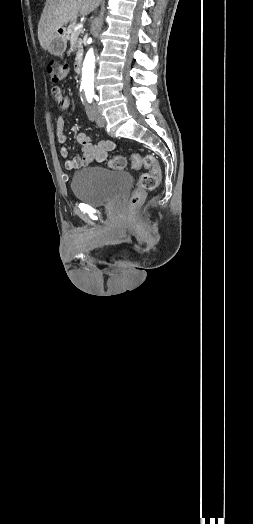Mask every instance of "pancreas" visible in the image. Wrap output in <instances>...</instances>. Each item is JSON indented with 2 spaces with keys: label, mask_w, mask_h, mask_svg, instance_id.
Wrapping results in <instances>:
<instances>
[{
  "label": "pancreas",
  "mask_w": 253,
  "mask_h": 524,
  "mask_svg": "<svg viewBox=\"0 0 253 524\" xmlns=\"http://www.w3.org/2000/svg\"><path fill=\"white\" fill-rule=\"evenodd\" d=\"M75 26H76V21H71V23L68 25V27H67V31H66V34H67V35H66V38H67V39H70L71 37H75V38H78V37H79L81 31H80V30L75 31V30H74ZM77 48L79 49L78 54H80V52H81V48H82V46H81V41H80V40H78Z\"/></svg>",
  "instance_id": "obj_1"
}]
</instances>
